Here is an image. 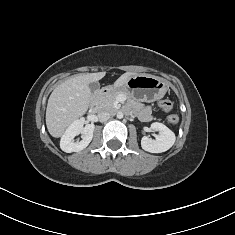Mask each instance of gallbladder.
<instances>
[{
	"label": "gallbladder",
	"mask_w": 235,
	"mask_h": 235,
	"mask_svg": "<svg viewBox=\"0 0 235 235\" xmlns=\"http://www.w3.org/2000/svg\"><path fill=\"white\" fill-rule=\"evenodd\" d=\"M100 85L98 82H92L89 84V88L92 92H95L97 89H99Z\"/></svg>",
	"instance_id": "bac80fb5"
}]
</instances>
